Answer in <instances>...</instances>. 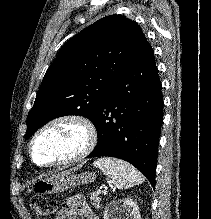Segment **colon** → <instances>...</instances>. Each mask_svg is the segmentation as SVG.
Returning a JSON list of instances; mask_svg holds the SVG:
<instances>
[{
    "instance_id": "colon-1",
    "label": "colon",
    "mask_w": 211,
    "mask_h": 219,
    "mask_svg": "<svg viewBox=\"0 0 211 219\" xmlns=\"http://www.w3.org/2000/svg\"><path fill=\"white\" fill-rule=\"evenodd\" d=\"M29 207L38 219H49L56 210V202L51 198L37 196L30 199Z\"/></svg>"
}]
</instances>
